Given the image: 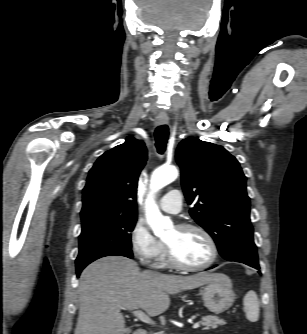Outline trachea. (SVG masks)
<instances>
[{
  "label": "trachea",
  "mask_w": 307,
  "mask_h": 334,
  "mask_svg": "<svg viewBox=\"0 0 307 334\" xmlns=\"http://www.w3.org/2000/svg\"><path fill=\"white\" fill-rule=\"evenodd\" d=\"M169 137L167 125L158 126L155 129V145L159 154H163Z\"/></svg>",
  "instance_id": "obj_1"
}]
</instances>
